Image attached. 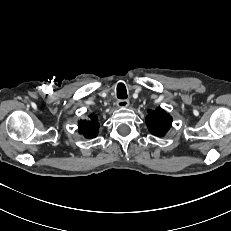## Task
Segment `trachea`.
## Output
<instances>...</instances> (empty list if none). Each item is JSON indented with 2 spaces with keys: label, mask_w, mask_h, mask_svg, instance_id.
Here are the masks:
<instances>
[{
  "label": "trachea",
  "mask_w": 231,
  "mask_h": 231,
  "mask_svg": "<svg viewBox=\"0 0 231 231\" xmlns=\"http://www.w3.org/2000/svg\"><path fill=\"white\" fill-rule=\"evenodd\" d=\"M117 97L119 99H126L127 98V90L123 83H119L117 85Z\"/></svg>",
  "instance_id": "1"
}]
</instances>
